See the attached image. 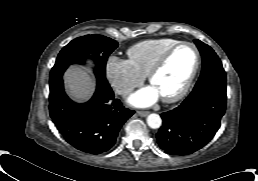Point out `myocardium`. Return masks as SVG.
<instances>
[{"mask_svg":"<svg viewBox=\"0 0 258 181\" xmlns=\"http://www.w3.org/2000/svg\"><path fill=\"white\" fill-rule=\"evenodd\" d=\"M183 46H189L194 50L195 56H196L195 65H194V68H193L188 80L186 81L185 85L178 93H176L175 95H172V96L161 97L162 101L165 103L177 102V101L181 100L189 92V90L197 76V73L199 71L200 64H201V56H200V52H199L197 46L194 43L188 42V41H180V42L176 43L175 45H173L172 47L167 49L157 59V61L151 68L150 72L148 73V80H149L150 84H152L154 78L163 69V67L165 66L167 61L170 59V57L174 54V52Z\"/></svg>","mask_w":258,"mask_h":181,"instance_id":"myocardium-1","label":"myocardium"}]
</instances>
